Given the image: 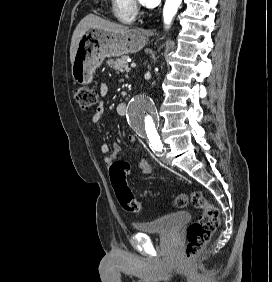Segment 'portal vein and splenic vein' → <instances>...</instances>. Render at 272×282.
<instances>
[{
    "label": "portal vein and splenic vein",
    "instance_id": "obj_1",
    "mask_svg": "<svg viewBox=\"0 0 272 282\" xmlns=\"http://www.w3.org/2000/svg\"><path fill=\"white\" fill-rule=\"evenodd\" d=\"M130 66H131V68H135L136 64L135 63H131Z\"/></svg>",
    "mask_w": 272,
    "mask_h": 282
}]
</instances>
